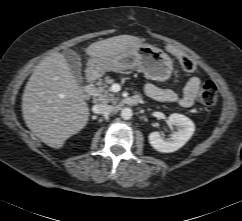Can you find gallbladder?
Wrapping results in <instances>:
<instances>
[{
  "label": "gallbladder",
  "mask_w": 242,
  "mask_h": 221,
  "mask_svg": "<svg viewBox=\"0 0 242 221\" xmlns=\"http://www.w3.org/2000/svg\"><path fill=\"white\" fill-rule=\"evenodd\" d=\"M63 56L65 57L68 65H69L70 71H71L74 79L76 80V82L79 84H82L83 77L81 74L82 63H81L80 56L77 54V52H75L72 49H64Z\"/></svg>",
  "instance_id": "obj_1"
}]
</instances>
